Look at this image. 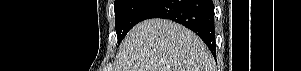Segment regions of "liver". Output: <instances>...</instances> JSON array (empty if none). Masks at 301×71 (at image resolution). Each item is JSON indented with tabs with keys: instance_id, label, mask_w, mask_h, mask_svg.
Returning a JSON list of instances; mask_svg holds the SVG:
<instances>
[{
	"instance_id": "6515ba94",
	"label": "liver",
	"mask_w": 301,
	"mask_h": 71,
	"mask_svg": "<svg viewBox=\"0 0 301 71\" xmlns=\"http://www.w3.org/2000/svg\"><path fill=\"white\" fill-rule=\"evenodd\" d=\"M204 42L187 28L165 19L135 25L120 45L114 71H213Z\"/></svg>"
}]
</instances>
